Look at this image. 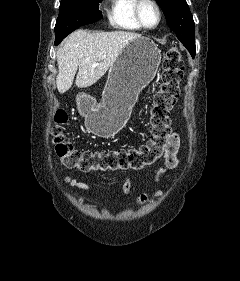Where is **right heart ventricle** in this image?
Instances as JSON below:
<instances>
[{"label":"right heart ventricle","instance_id":"e07e8e85","mask_svg":"<svg viewBox=\"0 0 240 281\" xmlns=\"http://www.w3.org/2000/svg\"><path fill=\"white\" fill-rule=\"evenodd\" d=\"M136 0H110L107 9L109 23L116 29L124 31H140L142 27L138 24L135 14Z\"/></svg>","mask_w":240,"mask_h":281}]
</instances>
